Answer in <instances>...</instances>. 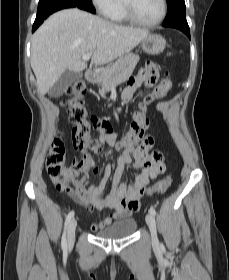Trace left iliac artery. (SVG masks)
I'll use <instances>...</instances> for the list:
<instances>
[{"label":"left iliac artery","mask_w":229,"mask_h":280,"mask_svg":"<svg viewBox=\"0 0 229 280\" xmlns=\"http://www.w3.org/2000/svg\"><path fill=\"white\" fill-rule=\"evenodd\" d=\"M149 212L153 215L156 214L155 208L154 207H150Z\"/></svg>","instance_id":"44dca946"}]
</instances>
